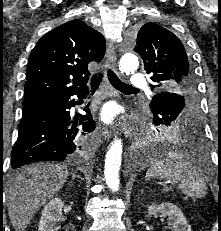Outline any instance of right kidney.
<instances>
[{"mask_svg": "<svg viewBox=\"0 0 221 231\" xmlns=\"http://www.w3.org/2000/svg\"><path fill=\"white\" fill-rule=\"evenodd\" d=\"M64 202L60 198H54L48 202L42 210V216L39 221V231H55L56 222L62 217V208Z\"/></svg>", "mask_w": 221, "mask_h": 231, "instance_id": "1", "label": "right kidney"}]
</instances>
